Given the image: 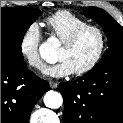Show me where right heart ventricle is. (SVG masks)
I'll list each match as a JSON object with an SVG mask.
<instances>
[{
    "label": "right heart ventricle",
    "instance_id": "1",
    "mask_svg": "<svg viewBox=\"0 0 123 123\" xmlns=\"http://www.w3.org/2000/svg\"><path fill=\"white\" fill-rule=\"evenodd\" d=\"M44 25L48 29L50 36L62 43L74 31L89 24L86 20L70 11L59 10L48 16L44 20Z\"/></svg>",
    "mask_w": 123,
    "mask_h": 123
}]
</instances>
